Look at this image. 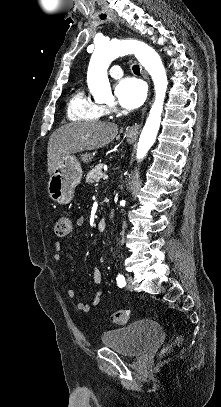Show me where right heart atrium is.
<instances>
[{
  "label": "right heart atrium",
  "instance_id": "right-heart-atrium-1",
  "mask_svg": "<svg viewBox=\"0 0 221 407\" xmlns=\"http://www.w3.org/2000/svg\"><path fill=\"white\" fill-rule=\"evenodd\" d=\"M105 109H106V111H107L108 113H112V112L115 111V109H114L113 107H107V106H105Z\"/></svg>",
  "mask_w": 221,
  "mask_h": 407
}]
</instances>
